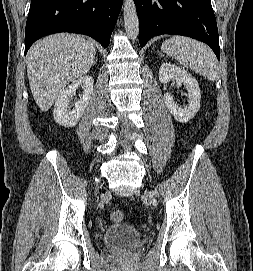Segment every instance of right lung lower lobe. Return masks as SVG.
Listing matches in <instances>:
<instances>
[{"mask_svg": "<svg viewBox=\"0 0 253 271\" xmlns=\"http://www.w3.org/2000/svg\"><path fill=\"white\" fill-rule=\"evenodd\" d=\"M123 0H31L25 54L43 36L57 32L88 35L109 45Z\"/></svg>", "mask_w": 253, "mask_h": 271, "instance_id": "right-lung-lower-lobe-1", "label": "right lung lower lobe"}]
</instances>
